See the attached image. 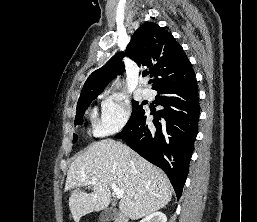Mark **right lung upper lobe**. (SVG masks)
Wrapping results in <instances>:
<instances>
[{"instance_id":"1","label":"right lung upper lobe","mask_w":257,"mask_h":222,"mask_svg":"<svg viewBox=\"0 0 257 222\" xmlns=\"http://www.w3.org/2000/svg\"><path fill=\"white\" fill-rule=\"evenodd\" d=\"M124 55L123 52L117 53L88 77L78 104L99 95L115 75L123 72L121 59ZM126 55L144 69L143 76L154 74V90L194 75L192 64L172 34L152 22L136 30L127 46Z\"/></svg>"}]
</instances>
